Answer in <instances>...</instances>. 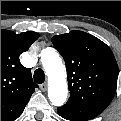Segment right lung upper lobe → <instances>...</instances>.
I'll use <instances>...</instances> for the list:
<instances>
[{"label":"right lung upper lobe","instance_id":"obj_1","mask_svg":"<svg viewBox=\"0 0 121 121\" xmlns=\"http://www.w3.org/2000/svg\"><path fill=\"white\" fill-rule=\"evenodd\" d=\"M38 37L32 31L15 34L1 30V121L16 120L38 87L32 80L31 70L19 60V55Z\"/></svg>","mask_w":121,"mask_h":121}]
</instances>
